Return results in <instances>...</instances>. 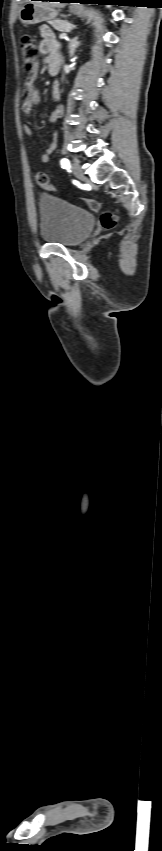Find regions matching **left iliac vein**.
<instances>
[{
    "label": "left iliac vein",
    "instance_id": "left-iliac-vein-1",
    "mask_svg": "<svg viewBox=\"0 0 162 851\" xmlns=\"http://www.w3.org/2000/svg\"><path fill=\"white\" fill-rule=\"evenodd\" d=\"M72 171L77 178L82 179L84 177L81 166L76 160L72 163Z\"/></svg>",
    "mask_w": 162,
    "mask_h": 851
}]
</instances>
